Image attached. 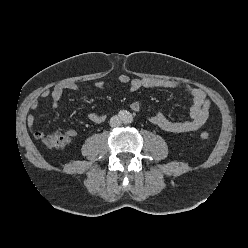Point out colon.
<instances>
[{
	"label": "colon",
	"mask_w": 248,
	"mask_h": 248,
	"mask_svg": "<svg viewBox=\"0 0 248 248\" xmlns=\"http://www.w3.org/2000/svg\"><path fill=\"white\" fill-rule=\"evenodd\" d=\"M200 137L203 140H207L209 138V134L207 132H201ZM41 140L50 148H61L68 143L69 138L60 132H53L50 134L43 133L41 135Z\"/></svg>",
	"instance_id": "colon-1"
}]
</instances>
